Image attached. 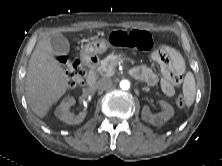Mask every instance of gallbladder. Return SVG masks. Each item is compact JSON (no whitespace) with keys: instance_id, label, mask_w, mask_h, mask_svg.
<instances>
[{"instance_id":"1","label":"gallbladder","mask_w":222,"mask_h":166,"mask_svg":"<svg viewBox=\"0 0 222 166\" xmlns=\"http://www.w3.org/2000/svg\"><path fill=\"white\" fill-rule=\"evenodd\" d=\"M50 44L53 50V53L61 56L67 55L70 50V45L66 37L61 34H56L51 36Z\"/></svg>"}]
</instances>
